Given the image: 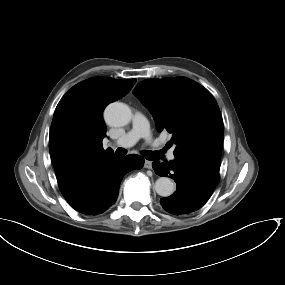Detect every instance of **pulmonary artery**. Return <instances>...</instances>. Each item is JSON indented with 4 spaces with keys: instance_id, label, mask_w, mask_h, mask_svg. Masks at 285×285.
I'll return each instance as SVG.
<instances>
[{
    "instance_id": "e3ab8cb5",
    "label": "pulmonary artery",
    "mask_w": 285,
    "mask_h": 285,
    "mask_svg": "<svg viewBox=\"0 0 285 285\" xmlns=\"http://www.w3.org/2000/svg\"><path fill=\"white\" fill-rule=\"evenodd\" d=\"M140 138L151 140L152 135L149 130V125L146 118L143 115L136 113L133 116L132 128L130 129V131L124 134L112 145L120 147H130L134 145ZM167 159L169 161H173L175 159L173 149L167 153Z\"/></svg>"
}]
</instances>
